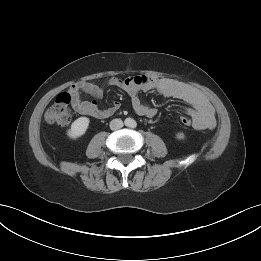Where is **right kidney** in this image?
Wrapping results in <instances>:
<instances>
[{"label": "right kidney", "instance_id": "right-kidney-1", "mask_svg": "<svg viewBox=\"0 0 261 261\" xmlns=\"http://www.w3.org/2000/svg\"><path fill=\"white\" fill-rule=\"evenodd\" d=\"M90 120L87 117H80L76 119L71 128L67 131V136L71 139H77L85 134L88 129Z\"/></svg>", "mask_w": 261, "mask_h": 261}]
</instances>
